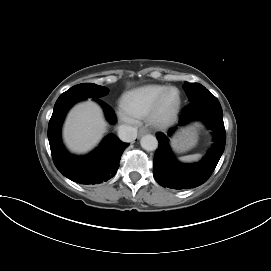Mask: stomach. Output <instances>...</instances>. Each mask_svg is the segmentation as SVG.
I'll return each instance as SVG.
<instances>
[{
	"label": "stomach",
	"instance_id": "stomach-1",
	"mask_svg": "<svg viewBox=\"0 0 271 271\" xmlns=\"http://www.w3.org/2000/svg\"><path fill=\"white\" fill-rule=\"evenodd\" d=\"M199 124H194L178 131L171 140V145L176 152H186L193 148L198 141Z\"/></svg>",
	"mask_w": 271,
	"mask_h": 271
}]
</instances>
